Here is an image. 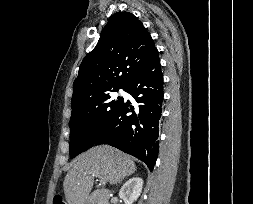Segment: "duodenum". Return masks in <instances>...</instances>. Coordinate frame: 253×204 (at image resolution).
<instances>
[{
	"label": "duodenum",
	"instance_id": "1",
	"mask_svg": "<svg viewBox=\"0 0 253 204\" xmlns=\"http://www.w3.org/2000/svg\"><path fill=\"white\" fill-rule=\"evenodd\" d=\"M111 195L106 190H96L84 201V204H110Z\"/></svg>",
	"mask_w": 253,
	"mask_h": 204
}]
</instances>
